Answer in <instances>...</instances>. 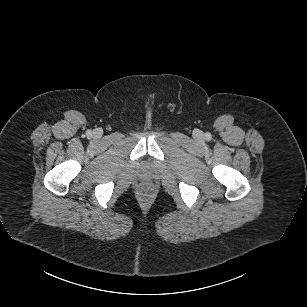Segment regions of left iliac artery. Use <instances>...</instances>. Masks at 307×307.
I'll list each match as a JSON object with an SVG mask.
<instances>
[{"mask_svg":"<svg viewBox=\"0 0 307 307\" xmlns=\"http://www.w3.org/2000/svg\"><path fill=\"white\" fill-rule=\"evenodd\" d=\"M205 137H206V139H210V134L206 133Z\"/></svg>","mask_w":307,"mask_h":307,"instance_id":"44dca946","label":"left iliac artery"}]
</instances>
